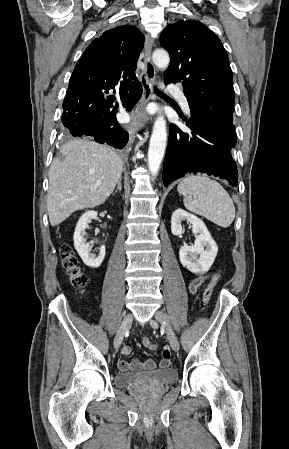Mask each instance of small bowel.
Here are the masks:
<instances>
[{"label": "small bowel", "instance_id": "obj_1", "mask_svg": "<svg viewBox=\"0 0 289 449\" xmlns=\"http://www.w3.org/2000/svg\"><path fill=\"white\" fill-rule=\"evenodd\" d=\"M204 282L203 277H197L190 283L189 289L190 292L195 294L199 291L202 284ZM148 350H154L156 348V344L149 343V345L145 346ZM131 353V348L129 346H125L122 349V354L127 356ZM171 348L169 346H164L162 348V353L159 355L160 366L164 369H168L171 367ZM156 362L152 359L147 360H140V359H134L131 362H128L126 360H120L118 362V368L122 372L127 371H139V370H153L156 368Z\"/></svg>", "mask_w": 289, "mask_h": 449}]
</instances>
